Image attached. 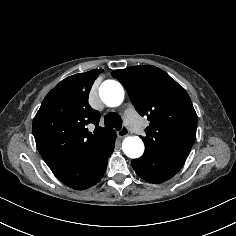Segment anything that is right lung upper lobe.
Wrapping results in <instances>:
<instances>
[{
    "instance_id": "right-lung-upper-lobe-1",
    "label": "right lung upper lobe",
    "mask_w": 236,
    "mask_h": 236,
    "mask_svg": "<svg viewBox=\"0 0 236 236\" xmlns=\"http://www.w3.org/2000/svg\"><path fill=\"white\" fill-rule=\"evenodd\" d=\"M102 69L69 76L43 100L32 125L37 148L52 170L86 159L115 132L98 126L100 114L88 104L90 89ZM96 126L94 133L87 125Z\"/></svg>"
}]
</instances>
